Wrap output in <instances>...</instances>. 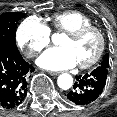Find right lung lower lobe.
Instances as JSON below:
<instances>
[{
  "instance_id": "obj_1",
  "label": "right lung lower lobe",
  "mask_w": 117,
  "mask_h": 117,
  "mask_svg": "<svg viewBox=\"0 0 117 117\" xmlns=\"http://www.w3.org/2000/svg\"><path fill=\"white\" fill-rule=\"evenodd\" d=\"M34 68L27 63L17 47L0 46V109H13L27 94V78Z\"/></svg>"
}]
</instances>
